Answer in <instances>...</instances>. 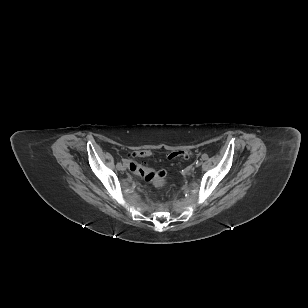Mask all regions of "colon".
I'll use <instances>...</instances> for the list:
<instances>
[{"label": "colon", "mask_w": 308, "mask_h": 308, "mask_svg": "<svg viewBox=\"0 0 308 308\" xmlns=\"http://www.w3.org/2000/svg\"><path fill=\"white\" fill-rule=\"evenodd\" d=\"M150 155H151V152L149 150H140L135 153V156L140 157V158L148 157ZM191 156H192L191 151L181 150V151L171 152L168 155V158L169 159H175V158L189 159ZM129 168L132 173H134L135 175L143 178L145 181L150 182L156 186H163L167 182V174L164 170H154L152 168H149L135 161H132L129 164Z\"/></svg>", "instance_id": "1"}]
</instances>
